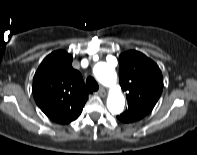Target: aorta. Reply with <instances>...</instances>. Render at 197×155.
Here are the masks:
<instances>
[{"label":"aorta","instance_id":"1","mask_svg":"<svg viewBox=\"0 0 197 155\" xmlns=\"http://www.w3.org/2000/svg\"><path fill=\"white\" fill-rule=\"evenodd\" d=\"M94 75L103 85L110 87L107 98V108L112 114H119L125 106V98L118 86L117 74L113 66L105 62H99L94 66Z\"/></svg>","mask_w":197,"mask_h":155}]
</instances>
